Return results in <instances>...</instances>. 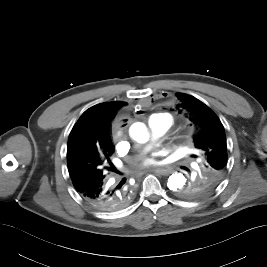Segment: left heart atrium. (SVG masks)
Masks as SVG:
<instances>
[{"label": "left heart atrium", "mask_w": 267, "mask_h": 267, "mask_svg": "<svg viewBox=\"0 0 267 267\" xmlns=\"http://www.w3.org/2000/svg\"><path fill=\"white\" fill-rule=\"evenodd\" d=\"M155 163L156 161L154 158L145 157L139 160L138 166L144 168V167H149L151 165H154Z\"/></svg>", "instance_id": "left-heart-atrium-1"}]
</instances>
